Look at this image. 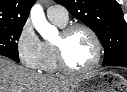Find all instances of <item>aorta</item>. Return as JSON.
I'll list each match as a JSON object with an SVG mask.
<instances>
[{"mask_svg":"<svg viewBox=\"0 0 127 92\" xmlns=\"http://www.w3.org/2000/svg\"><path fill=\"white\" fill-rule=\"evenodd\" d=\"M30 17L33 26L43 38L48 39L51 33L56 30V28L46 20L41 5L35 4L32 7Z\"/></svg>","mask_w":127,"mask_h":92,"instance_id":"obj_1","label":"aorta"}]
</instances>
